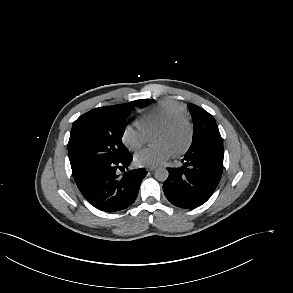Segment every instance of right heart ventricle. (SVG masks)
<instances>
[{
  "mask_svg": "<svg viewBox=\"0 0 293 293\" xmlns=\"http://www.w3.org/2000/svg\"><path fill=\"white\" fill-rule=\"evenodd\" d=\"M186 117V109L179 103L163 101L146 107L137 120V125L147 132L176 118Z\"/></svg>",
  "mask_w": 293,
  "mask_h": 293,
  "instance_id": "right-heart-ventricle-1",
  "label": "right heart ventricle"
}]
</instances>
